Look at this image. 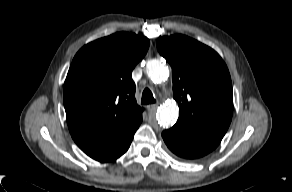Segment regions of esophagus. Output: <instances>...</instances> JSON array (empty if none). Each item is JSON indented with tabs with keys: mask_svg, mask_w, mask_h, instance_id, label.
I'll return each instance as SVG.
<instances>
[{
	"mask_svg": "<svg viewBox=\"0 0 292 192\" xmlns=\"http://www.w3.org/2000/svg\"><path fill=\"white\" fill-rule=\"evenodd\" d=\"M159 103H156V104H151V105H148L147 106V109L152 112V111H155L158 107Z\"/></svg>",
	"mask_w": 292,
	"mask_h": 192,
	"instance_id": "1",
	"label": "esophagus"
}]
</instances>
